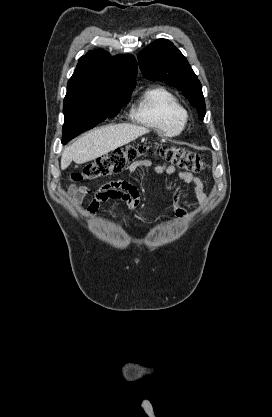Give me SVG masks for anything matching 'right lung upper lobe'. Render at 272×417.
Segmentation results:
<instances>
[{
    "label": "right lung upper lobe",
    "instance_id": "cb5924a9",
    "mask_svg": "<svg viewBox=\"0 0 272 417\" xmlns=\"http://www.w3.org/2000/svg\"><path fill=\"white\" fill-rule=\"evenodd\" d=\"M137 71V62L132 55L111 57L103 50L89 52L79 59L68 81L64 101L98 93L133 90Z\"/></svg>",
    "mask_w": 272,
    "mask_h": 417
}]
</instances>
